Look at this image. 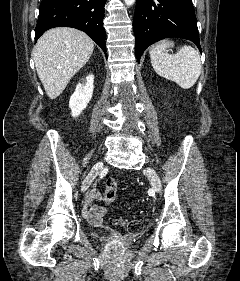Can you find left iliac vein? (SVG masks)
I'll use <instances>...</instances> for the list:
<instances>
[{"label": "left iliac vein", "mask_w": 240, "mask_h": 281, "mask_svg": "<svg viewBox=\"0 0 240 281\" xmlns=\"http://www.w3.org/2000/svg\"><path fill=\"white\" fill-rule=\"evenodd\" d=\"M144 174L148 177V179L151 181L153 188L160 193L162 189V185L160 182V179L156 173V171L153 168H146L144 170Z\"/></svg>", "instance_id": "4c4485c4"}]
</instances>
